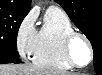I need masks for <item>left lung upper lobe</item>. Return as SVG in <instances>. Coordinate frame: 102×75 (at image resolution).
<instances>
[{"label": "left lung upper lobe", "instance_id": "1", "mask_svg": "<svg viewBox=\"0 0 102 75\" xmlns=\"http://www.w3.org/2000/svg\"><path fill=\"white\" fill-rule=\"evenodd\" d=\"M87 36L94 51V69L102 74V0H55Z\"/></svg>", "mask_w": 102, "mask_h": 75}]
</instances>
